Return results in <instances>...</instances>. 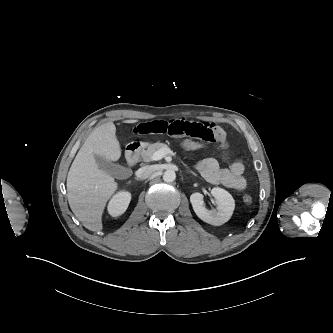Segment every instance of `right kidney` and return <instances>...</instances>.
I'll return each mask as SVG.
<instances>
[{
  "label": "right kidney",
  "instance_id": "right-kidney-1",
  "mask_svg": "<svg viewBox=\"0 0 333 333\" xmlns=\"http://www.w3.org/2000/svg\"><path fill=\"white\" fill-rule=\"evenodd\" d=\"M131 200V194L127 191H122L116 194L108 204V212L112 217L122 215Z\"/></svg>",
  "mask_w": 333,
  "mask_h": 333
}]
</instances>
